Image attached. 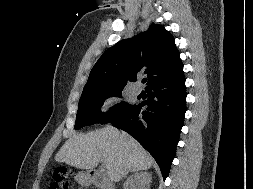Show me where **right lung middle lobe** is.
I'll return each instance as SVG.
<instances>
[{
	"label": "right lung middle lobe",
	"mask_w": 253,
	"mask_h": 189,
	"mask_svg": "<svg viewBox=\"0 0 253 189\" xmlns=\"http://www.w3.org/2000/svg\"><path fill=\"white\" fill-rule=\"evenodd\" d=\"M124 87H102L83 91L77 112L75 129H80L94 123H108L115 117L130 110L133 105L121 102L112 107L111 113H102L101 107L105 99L111 96L121 97Z\"/></svg>",
	"instance_id": "dd1d6c3e"
}]
</instances>
